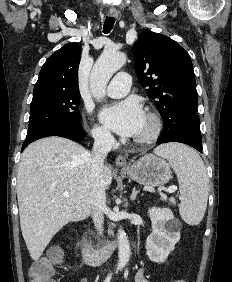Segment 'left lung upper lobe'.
Masks as SVG:
<instances>
[{
	"instance_id": "left-lung-upper-lobe-1",
	"label": "left lung upper lobe",
	"mask_w": 232,
	"mask_h": 282,
	"mask_svg": "<svg viewBox=\"0 0 232 282\" xmlns=\"http://www.w3.org/2000/svg\"><path fill=\"white\" fill-rule=\"evenodd\" d=\"M133 56L138 79L163 121L172 120L182 109L196 114L193 65L178 43L162 34L143 32L133 47Z\"/></svg>"
}]
</instances>
